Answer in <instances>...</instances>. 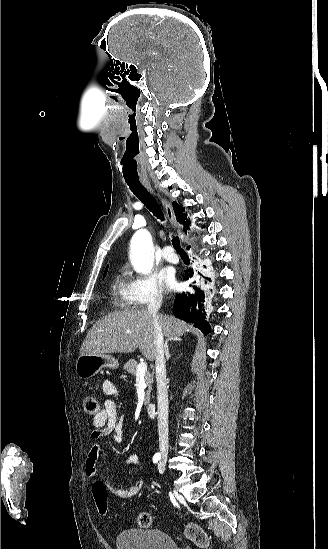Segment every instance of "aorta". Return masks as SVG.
<instances>
[{"instance_id":"obj_1","label":"aorta","mask_w":328,"mask_h":549,"mask_svg":"<svg viewBox=\"0 0 328 549\" xmlns=\"http://www.w3.org/2000/svg\"><path fill=\"white\" fill-rule=\"evenodd\" d=\"M132 263L136 271L147 274L152 265V241L147 230H138L131 240Z\"/></svg>"}]
</instances>
